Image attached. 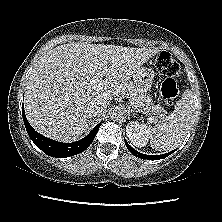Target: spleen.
<instances>
[{"instance_id": "spleen-1", "label": "spleen", "mask_w": 222, "mask_h": 222, "mask_svg": "<svg viewBox=\"0 0 222 222\" xmlns=\"http://www.w3.org/2000/svg\"><path fill=\"white\" fill-rule=\"evenodd\" d=\"M194 114V95L191 90H186L174 112L150 128L151 147L156 151H171L178 147L192 127Z\"/></svg>"}]
</instances>
